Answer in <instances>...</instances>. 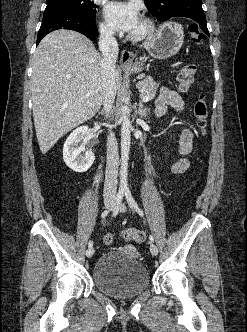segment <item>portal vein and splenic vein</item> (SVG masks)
Listing matches in <instances>:
<instances>
[{
    "instance_id": "obj_1",
    "label": "portal vein and splenic vein",
    "mask_w": 247,
    "mask_h": 332,
    "mask_svg": "<svg viewBox=\"0 0 247 332\" xmlns=\"http://www.w3.org/2000/svg\"><path fill=\"white\" fill-rule=\"evenodd\" d=\"M90 94H87V96H89ZM150 100V97L149 96H143L142 97V101L143 102H148Z\"/></svg>"
}]
</instances>
